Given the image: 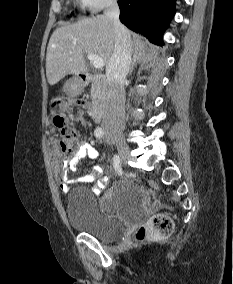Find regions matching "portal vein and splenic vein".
I'll return each instance as SVG.
<instances>
[{"label": "portal vein and splenic vein", "mask_w": 233, "mask_h": 284, "mask_svg": "<svg viewBox=\"0 0 233 284\" xmlns=\"http://www.w3.org/2000/svg\"><path fill=\"white\" fill-rule=\"evenodd\" d=\"M88 59L96 69H102L105 65L104 60L101 57H98L94 54H88L87 55Z\"/></svg>", "instance_id": "18ae733b"}]
</instances>
